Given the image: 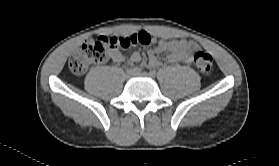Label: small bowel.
Masks as SVG:
<instances>
[{"mask_svg": "<svg viewBox=\"0 0 279 166\" xmlns=\"http://www.w3.org/2000/svg\"><path fill=\"white\" fill-rule=\"evenodd\" d=\"M141 35H144L148 38V42L144 45L150 43L156 44L154 49H150L147 52V65L150 68H156L161 64L160 60L158 59V53L167 52V61L170 63L179 61L191 63L194 52L199 48L196 42L186 39L157 40L151 37L146 31H140L128 37L139 38ZM110 57L115 63H121L125 60L123 53L118 48L112 49ZM142 61L143 57L139 52H135L129 57V62L132 64L140 63Z\"/></svg>", "mask_w": 279, "mask_h": 166, "instance_id": "1", "label": "small bowel"}]
</instances>
